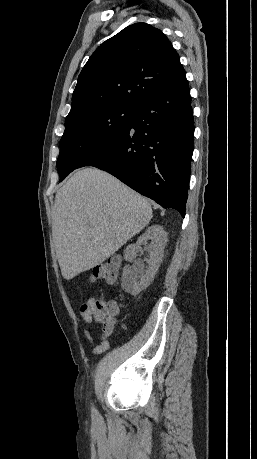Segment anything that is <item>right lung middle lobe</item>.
I'll list each match as a JSON object with an SVG mask.
<instances>
[{
  "label": "right lung middle lobe",
  "instance_id": "obj_1",
  "mask_svg": "<svg viewBox=\"0 0 257 459\" xmlns=\"http://www.w3.org/2000/svg\"><path fill=\"white\" fill-rule=\"evenodd\" d=\"M135 110L136 107H108L67 124L57 160L59 182L119 137L130 124Z\"/></svg>",
  "mask_w": 257,
  "mask_h": 459
}]
</instances>
